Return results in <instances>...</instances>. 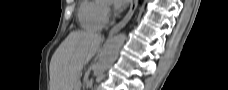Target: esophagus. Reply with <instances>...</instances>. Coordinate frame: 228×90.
<instances>
[{"label": "esophagus", "mask_w": 228, "mask_h": 90, "mask_svg": "<svg viewBox=\"0 0 228 90\" xmlns=\"http://www.w3.org/2000/svg\"><path fill=\"white\" fill-rule=\"evenodd\" d=\"M137 5H138V0H131L129 11L125 15V17L110 30L109 36H113L114 34H116L129 22V20L131 19V17L133 16L137 8Z\"/></svg>", "instance_id": "1"}]
</instances>
